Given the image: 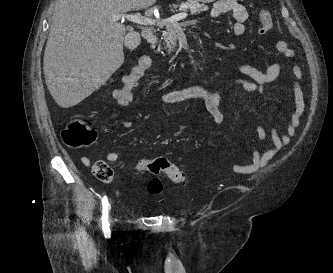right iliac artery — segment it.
<instances>
[{
	"label": "right iliac artery",
	"mask_w": 333,
	"mask_h": 273,
	"mask_svg": "<svg viewBox=\"0 0 333 273\" xmlns=\"http://www.w3.org/2000/svg\"><path fill=\"white\" fill-rule=\"evenodd\" d=\"M108 210H109V202L107 196L102 198V230L104 233L105 238H110L111 231H110V224L108 221Z\"/></svg>",
	"instance_id": "1"
}]
</instances>
